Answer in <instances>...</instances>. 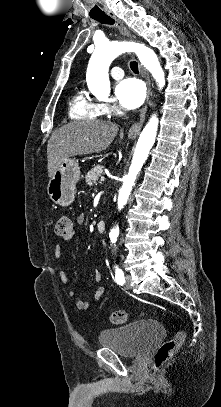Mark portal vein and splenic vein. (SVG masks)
Listing matches in <instances>:
<instances>
[{
  "label": "portal vein and splenic vein",
  "instance_id": "1",
  "mask_svg": "<svg viewBox=\"0 0 221 407\" xmlns=\"http://www.w3.org/2000/svg\"><path fill=\"white\" fill-rule=\"evenodd\" d=\"M105 179H106L105 176H101L100 181L103 182L105 181Z\"/></svg>",
  "mask_w": 221,
  "mask_h": 407
}]
</instances>
